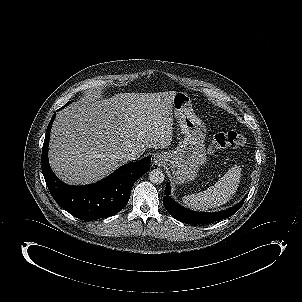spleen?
I'll use <instances>...</instances> for the list:
<instances>
[{
	"mask_svg": "<svg viewBox=\"0 0 302 302\" xmlns=\"http://www.w3.org/2000/svg\"><path fill=\"white\" fill-rule=\"evenodd\" d=\"M241 168H230L213 186L197 194L184 196L183 203L194 210L207 211L227 203L238 188Z\"/></svg>",
	"mask_w": 302,
	"mask_h": 302,
	"instance_id": "spleen-1",
	"label": "spleen"
}]
</instances>
